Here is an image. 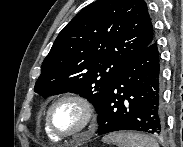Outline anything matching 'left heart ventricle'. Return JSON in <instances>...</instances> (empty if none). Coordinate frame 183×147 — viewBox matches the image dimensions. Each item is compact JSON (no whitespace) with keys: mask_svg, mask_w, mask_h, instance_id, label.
Segmentation results:
<instances>
[{"mask_svg":"<svg viewBox=\"0 0 183 147\" xmlns=\"http://www.w3.org/2000/svg\"><path fill=\"white\" fill-rule=\"evenodd\" d=\"M84 120V110L73 101L59 103L51 113L52 126L59 133L76 131L83 125Z\"/></svg>","mask_w":183,"mask_h":147,"instance_id":"b2bd125f","label":"left heart ventricle"}]
</instances>
